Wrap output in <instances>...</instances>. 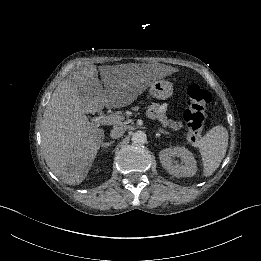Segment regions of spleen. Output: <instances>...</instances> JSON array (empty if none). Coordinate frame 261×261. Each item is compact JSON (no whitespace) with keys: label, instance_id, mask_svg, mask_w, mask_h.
Here are the masks:
<instances>
[{"label":"spleen","instance_id":"3e777b00","mask_svg":"<svg viewBox=\"0 0 261 261\" xmlns=\"http://www.w3.org/2000/svg\"><path fill=\"white\" fill-rule=\"evenodd\" d=\"M228 147V130L223 125H215L207 131L198 143L202 161L203 177L211 176L225 157Z\"/></svg>","mask_w":261,"mask_h":261}]
</instances>
